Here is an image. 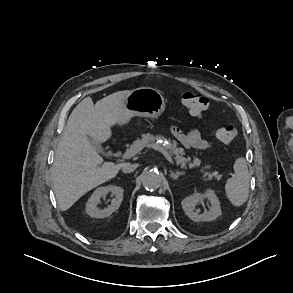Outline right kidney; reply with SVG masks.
<instances>
[{
    "label": "right kidney",
    "mask_w": 293,
    "mask_h": 293,
    "mask_svg": "<svg viewBox=\"0 0 293 293\" xmlns=\"http://www.w3.org/2000/svg\"><path fill=\"white\" fill-rule=\"evenodd\" d=\"M109 192L114 195L111 204L107 206V208L99 209L97 205L100 201V198L106 196ZM123 192L124 190L121 187L113 185L97 188L86 204V213L94 218H105L110 216L120 207V204L123 200Z\"/></svg>",
    "instance_id": "1"
}]
</instances>
